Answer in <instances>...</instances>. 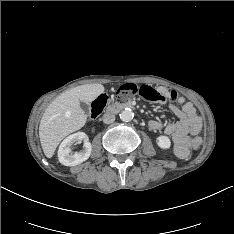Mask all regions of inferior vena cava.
<instances>
[{
    "instance_id": "1",
    "label": "inferior vena cava",
    "mask_w": 234,
    "mask_h": 234,
    "mask_svg": "<svg viewBox=\"0 0 234 234\" xmlns=\"http://www.w3.org/2000/svg\"><path fill=\"white\" fill-rule=\"evenodd\" d=\"M115 121V115L113 113L107 112L103 115V122L105 124H110Z\"/></svg>"
}]
</instances>
